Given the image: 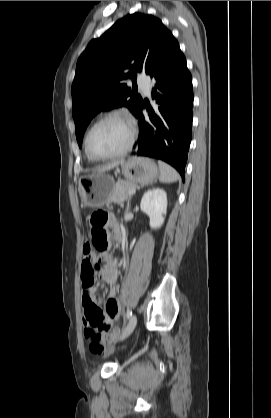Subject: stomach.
<instances>
[{
    "mask_svg": "<svg viewBox=\"0 0 271 418\" xmlns=\"http://www.w3.org/2000/svg\"><path fill=\"white\" fill-rule=\"evenodd\" d=\"M121 173L128 182L146 185L157 178L158 167L149 158L135 157L121 163ZM113 187L110 176L93 173L80 179L78 191L85 206L98 208L109 201Z\"/></svg>",
    "mask_w": 271,
    "mask_h": 418,
    "instance_id": "0dacf381",
    "label": "stomach"
}]
</instances>
